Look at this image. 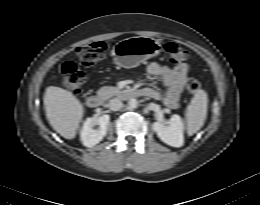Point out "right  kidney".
<instances>
[{"label": "right kidney", "instance_id": "1", "mask_svg": "<svg viewBox=\"0 0 260 205\" xmlns=\"http://www.w3.org/2000/svg\"><path fill=\"white\" fill-rule=\"evenodd\" d=\"M109 115L101 116L97 121L94 118H87L81 130V141L86 147H93L98 144L107 133L109 126ZM98 123L99 128L93 129Z\"/></svg>", "mask_w": 260, "mask_h": 205}]
</instances>
